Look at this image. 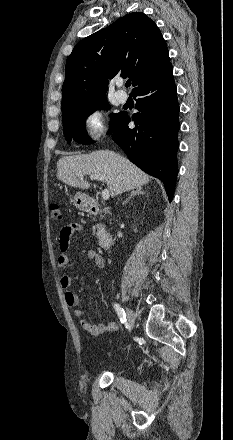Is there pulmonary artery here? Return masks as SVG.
<instances>
[{"label":"pulmonary artery","instance_id":"e3ab8cb5","mask_svg":"<svg viewBox=\"0 0 233 440\" xmlns=\"http://www.w3.org/2000/svg\"><path fill=\"white\" fill-rule=\"evenodd\" d=\"M116 98L120 103H125L127 101L128 96L125 92L119 90L116 92Z\"/></svg>","mask_w":233,"mask_h":440}]
</instances>
